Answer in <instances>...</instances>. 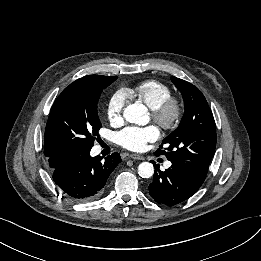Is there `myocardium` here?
<instances>
[{"instance_id": "myocardium-1", "label": "myocardium", "mask_w": 261, "mask_h": 261, "mask_svg": "<svg viewBox=\"0 0 261 261\" xmlns=\"http://www.w3.org/2000/svg\"><path fill=\"white\" fill-rule=\"evenodd\" d=\"M183 106L177 96L170 95L156 109L152 110V119L163 130L175 129L182 118Z\"/></svg>"}]
</instances>
